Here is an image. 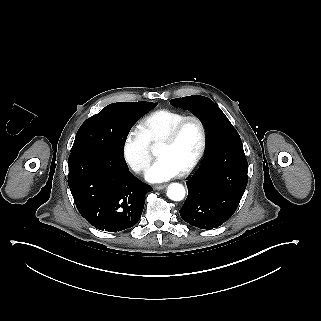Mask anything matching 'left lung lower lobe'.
Masks as SVG:
<instances>
[{"mask_svg":"<svg viewBox=\"0 0 321 321\" xmlns=\"http://www.w3.org/2000/svg\"><path fill=\"white\" fill-rule=\"evenodd\" d=\"M248 162L241 138H230L205 152L196 173L187 181L182 219L201 229L222 225L237 209L245 191Z\"/></svg>","mask_w":321,"mask_h":321,"instance_id":"left-lung-lower-lobe-1","label":"left lung lower lobe"}]
</instances>
